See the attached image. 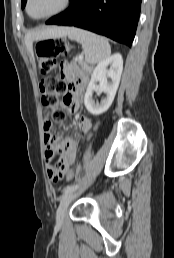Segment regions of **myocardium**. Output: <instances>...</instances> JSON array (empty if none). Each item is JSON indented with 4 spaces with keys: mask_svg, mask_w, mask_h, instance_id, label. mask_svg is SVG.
<instances>
[{
    "mask_svg": "<svg viewBox=\"0 0 174 258\" xmlns=\"http://www.w3.org/2000/svg\"><path fill=\"white\" fill-rule=\"evenodd\" d=\"M31 1L32 0H26L25 12L33 20H45V19L51 18L53 16H56V15L62 13L63 11H65L69 7L70 2H71V0H62L61 5L57 9H55L54 11H51L47 14H44V15H41V16H38V17H34L30 14V11H29Z\"/></svg>",
    "mask_w": 174,
    "mask_h": 258,
    "instance_id": "obj_1",
    "label": "myocardium"
}]
</instances>
